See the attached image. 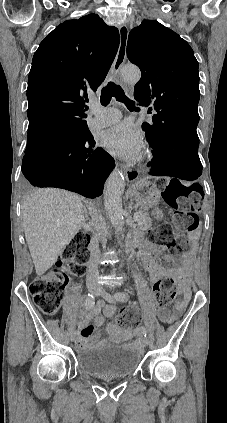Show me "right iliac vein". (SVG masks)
Returning a JSON list of instances; mask_svg holds the SVG:
<instances>
[{"mask_svg":"<svg viewBox=\"0 0 227 423\" xmlns=\"http://www.w3.org/2000/svg\"><path fill=\"white\" fill-rule=\"evenodd\" d=\"M88 290H89V292H90L91 294L96 295V296H98V295H99V293H100V290H99V289H97V288L88 287ZM75 338H76L75 334H74V333H72V334L70 335V339H71V341H74V340H75Z\"/></svg>","mask_w":227,"mask_h":423,"instance_id":"obj_1","label":"right iliac vein"}]
</instances>
